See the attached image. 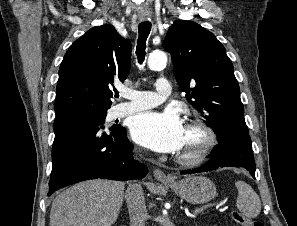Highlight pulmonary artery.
Masks as SVG:
<instances>
[{
  "label": "pulmonary artery",
  "mask_w": 297,
  "mask_h": 226,
  "mask_svg": "<svg viewBox=\"0 0 297 226\" xmlns=\"http://www.w3.org/2000/svg\"><path fill=\"white\" fill-rule=\"evenodd\" d=\"M171 93V84L166 78H159L154 91L128 90L123 96L129 101L112 107L111 116L120 118L161 104Z\"/></svg>",
  "instance_id": "obj_1"
}]
</instances>
